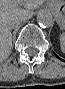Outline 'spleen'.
Returning a JSON list of instances; mask_svg holds the SVG:
<instances>
[{"instance_id": "obj_1", "label": "spleen", "mask_w": 65, "mask_h": 89, "mask_svg": "<svg viewBox=\"0 0 65 89\" xmlns=\"http://www.w3.org/2000/svg\"><path fill=\"white\" fill-rule=\"evenodd\" d=\"M59 40H60L61 51L64 52L65 51V34L64 33L60 34Z\"/></svg>"}]
</instances>
